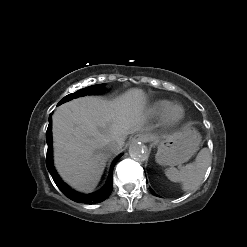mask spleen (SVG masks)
Here are the masks:
<instances>
[{
    "instance_id": "obj_1",
    "label": "spleen",
    "mask_w": 247,
    "mask_h": 247,
    "mask_svg": "<svg viewBox=\"0 0 247 247\" xmlns=\"http://www.w3.org/2000/svg\"><path fill=\"white\" fill-rule=\"evenodd\" d=\"M211 160L209 150L203 148L198 153L194 163L187 164L181 170L174 167L166 169L165 175L170 181L181 183L183 191H190L200 185Z\"/></svg>"
}]
</instances>
